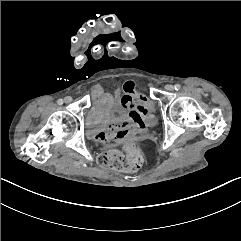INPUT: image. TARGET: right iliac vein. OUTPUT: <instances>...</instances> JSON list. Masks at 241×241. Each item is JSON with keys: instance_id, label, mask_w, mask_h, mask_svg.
Here are the masks:
<instances>
[{"instance_id": "63e3f726", "label": "right iliac vein", "mask_w": 241, "mask_h": 241, "mask_svg": "<svg viewBox=\"0 0 241 241\" xmlns=\"http://www.w3.org/2000/svg\"><path fill=\"white\" fill-rule=\"evenodd\" d=\"M72 101V97H70V96H66L65 98H64V102L65 103H70Z\"/></svg>"}]
</instances>
